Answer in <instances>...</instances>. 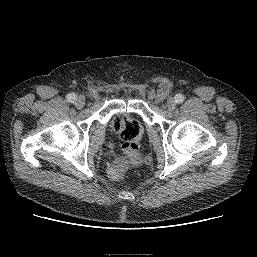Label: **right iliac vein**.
I'll return each instance as SVG.
<instances>
[{"instance_id":"1","label":"right iliac vein","mask_w":257,"mask_h":257,"mask_svg":"<svg viewBox=\"0 0 257 257\" xmlns=\"http://www.w3.org/2000/svg\"><path fill=\"white\" fill-rule=\"evenodd\" d=\"M85 105V98L83 96L77 97L75 101V106L79 109L83 108Z\"/></svg>"}]
</instances>
